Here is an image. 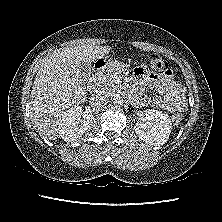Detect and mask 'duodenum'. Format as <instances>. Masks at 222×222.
Masks as SVG:
<instances>
[{
	"mask_svg": "<svg viewBox=\"0 0 222 222\" xmlns=\"http://www.w3.org/2000/svg\"><path fill=\"white\" fill-rule=\"evenodd\" d=\"M102 66H103V63L99 64L97 67V71L96 73L92 76V78L90 79L89 81V84H88V87H89V90L91 92H95L96 89H97V86L99 85L100 83V80L103 76V69H102Z\"/></svg>",
	"mask_w": 222,
	"mask_h": 222,
	"instance_id": "obj_1",
	"label": "duodenum"
}]
</instances>
